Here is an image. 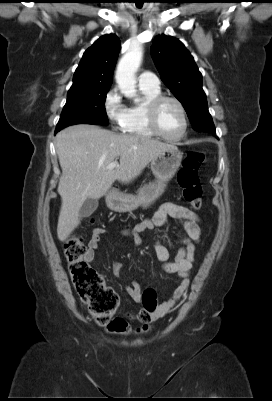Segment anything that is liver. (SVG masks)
I'll use <instances>...</instances> for the list:
<instances>
[{
  "mask_svg": "<svg viewBox=\"0 0 272 401\" xmlns=\"http://www.w3.org/2000/svg\"><path fill=\"white\" fill-rule=\"evenodd\" d=\"M174 147L138 135L116 134L96 125L69 126L56 136L62 175L58 193L62 205L57 236L65 241L79 225V211L87 198H101L118 180L129 183L161 152ZM119 159L118 167H106Z\"/></svg>",
  "mask_w": 272,
  "mask_h": 401,
  "instance_id": "obj_1",
  "label": "liver"
}]
</instances>
